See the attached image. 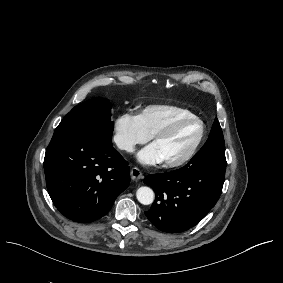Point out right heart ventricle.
<instances>
[{
  "instance_id": "1",
  "label": "right heart ventricle",
  "mask_w": 283,
  "mask_h": 283,
  "mask_svg": "<svg viewBox=\"0 0 283 283\" xmlns=\"http://www.w3.org/2000/svg\"><path fill=\"white\" fill-rule=\"evenodd\" d=\"M191 114L189 110L177 106L150 105L142 111L140 116L148 132L155 135L178 117Z\"/></svg>"
}]
</instances>
